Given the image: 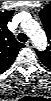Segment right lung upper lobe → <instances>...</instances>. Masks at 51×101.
<instances>
[{
  "label": "right lung upper lobe",
  "mask_w": 51,
  "mask_h": 101,
  "mask_svg": "<svg viewBox=\"0 0 51 101\" xmlns=\"http://www.w3.org/2000/svg\"><path fill=\"white\" fill-rule=\"evenodd\" d=\"M13 12H0V73H3L12 65L19 49L24 47V44L19 43L7 28V23Z\"/></svg>",
  "instance_id": "obj_1"
}]
</instances>
